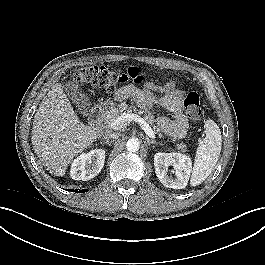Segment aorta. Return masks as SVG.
<instances>
[{
	"label": "aorta",
	"mask_w": 265,
	"mask_h": 265,
	"mask_svg": "<svg viewBox=\"0 0 265 265\" xmlns=\"http://www.w3.org/2000/svg\"><path fill=\"white\" fill-rule=\"evenodd\" d=\"M126 148L130 152H136L140 148V142L137 138H130L126 143Z\"/></svg>",
	"instance_id": "1"
}]
</instances>
